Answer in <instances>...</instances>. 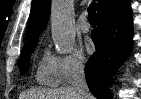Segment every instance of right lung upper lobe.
Returning <instances> with one entry per match:
<instances>
[{
  "mask_svg": "<svg viewBox=\"0 0 141 99\" xmlns=\"http://www.w3.org/2000/svg\"><path fill=\"white\" fill-rule=\"evenodd\" d=\"M109 0H98V11ZM50 0H33L28 20L26 44L38 41V35L45 29L50 16Z\"/></svg>",
  "mask_w": 141,
  "mask_h": 99,
  "instance_id": "right-lung-upper-lobe-1",
  "label": "right lung upper lobe"
}]
</instances>
